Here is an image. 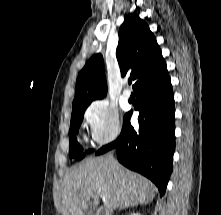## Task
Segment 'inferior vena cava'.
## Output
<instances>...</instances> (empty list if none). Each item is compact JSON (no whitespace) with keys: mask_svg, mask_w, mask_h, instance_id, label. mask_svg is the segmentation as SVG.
<instances>
[{"mask_svg":"<svg viewBox=\"0 0 221 215\" xmlns=\"http://www.w3.org/2000/svg\"><path fill=\"white\" fill-rule=\"evenodd\" d=\"M109 157L112 161H114L113 155H110Z\"/></svg>","mask_w":221,"mask_h":215,"instance_id":"inferior-vena-cava-1","label":"inferior vena cava"}]
</instances>
